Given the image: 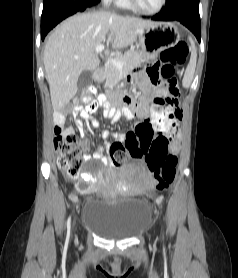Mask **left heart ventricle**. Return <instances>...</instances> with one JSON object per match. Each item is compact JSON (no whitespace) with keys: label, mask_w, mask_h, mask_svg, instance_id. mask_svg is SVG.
Instances as JSON below:
<instances>
[{"label":"left heart ventricle","mask_w":238,"mask_h":278,"mask_svg":"<svg viewBox=\"0 0 238 278\" xmlns=\"http://www.w3.org/2000/svg\"><path fill=\"white\" fill-rule=\"evenodd\" d=\"M137 2L145 9H155L159 5L160 0H137Z\"/></svg>","instance_id":"obj_1"}]
</instances>
